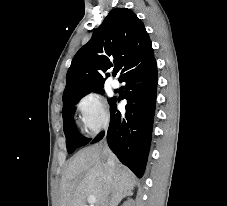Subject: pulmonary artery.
I'll use <instances>...</instances> for the list:
<instances>
[{
	"instance_id": "1",
	"label": "pulmonary artery",
	"mask_w": 227,
	"mask_h": 206,
	"mask_svg": "<svg viewBox=\"0 0 227 206\" xmlns=\"http://www.w3.org/2000/svg\"><path fill=\"white\" fill-rule=\"evenodd\" d=\"M111 86H112L114 89H116V88H119L120 83H119V81H118L117 79H113V80L111 81Z\"/></svg>"
}]
</instances>
